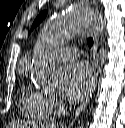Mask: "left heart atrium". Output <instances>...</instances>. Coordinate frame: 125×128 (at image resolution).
<instances>
[{"instance_id": "39dd6f15", "label": "left heart atrium", "mask_w": 125, "mask_h": 128, "mask_svg": "<svg viewBox=\"0 0 125 128\" xmlns=\"http://www.w3.org/2000/svg\"><path fill=\"white\" fill-rule=\"evenodd\" d=\"M93 81V71L88 64H69L61 71L60 93L68 101H79L90 92Z\"/></svg>"}]
</instances>
